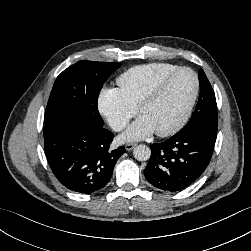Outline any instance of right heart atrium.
<instances>
[{
    "instance_id": "d8ad5b80",
    "label": "right heart atrium",
    "mask_w": 251,
    "mask_h": 251,
    "mask_svg": "<svg viewBox=\"0 0 251 251\" xmlns=\"http://www.w3.org/2000/svg\"><path fill=\"white\" fill-rule=\"evenodd\" d=\"M97 106L100 114L117 132L122 131L136 113L135 108L116 88H103L98 96Z\"/></svg>"
}]
</instances>
